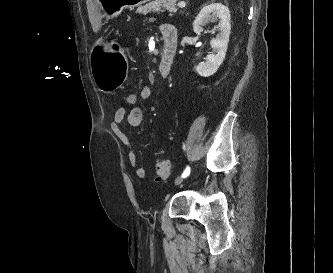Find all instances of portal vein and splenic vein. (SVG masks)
Wrapping results in <instances>:
<instances>
[{
  "instance_id": "portal-vein-and-splenic-vein-1",
  "label": "portal vein and splenic vein",
  "mask_w": 333,
  "mask_h": 273,
  "mask_svg": "<svg viewBox=\"0 0 333 273\" xmlns=\"http://www.w3.org/2000/svg\"><path fill=\"white\" fill-rule=\"evenodd\" d=\"M177 6L180 7V8H183V7L186 6V3L182 1V2H179V3L177 4Z\"/></svg>"
}]
</instances>
